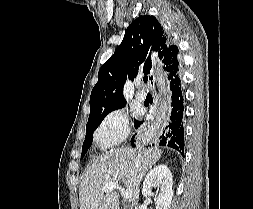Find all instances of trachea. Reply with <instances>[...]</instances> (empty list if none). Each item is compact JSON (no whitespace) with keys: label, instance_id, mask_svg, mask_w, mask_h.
Returning a JSON list of instances; mask_svg holds the SVG:
<instances>
[{"label":"trachea","instance_id":"obj_1","mask_svg":"<svg viewBox=\"0 0 253 209\" xmlns=\"http://www.w3.org/2000/svg\"><path fill=\"white\" fill-rule=\"evenodd\" d=\"M143 81H144V83H147L148 77H144V78H143Z\"/></svg>","mask_w":253,"mask_h":209}]
</instances>
